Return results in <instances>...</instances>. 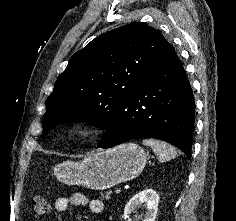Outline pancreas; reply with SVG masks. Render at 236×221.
<instances>
[{"label":"pancreas","mask_w":236,"mask_h":221,"mask_svg":"<svg viewBox=\"0 0 236 221\" xmlns=\"http://www.w3.org/2000/svg\"><path fill=\"white\" fill-rule=\"evenodd\" d=\"M110 194H111V192H107L106 195L101 194V199L102 200H109L110 199Z\"/></svg>","instance_id":"cf45deb5"}]
</instances>
